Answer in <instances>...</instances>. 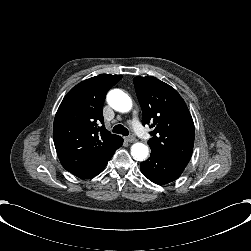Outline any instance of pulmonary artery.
<instances>
[{"label": "pulmonary artery", "mask_w": 251, "mask_h": 251, "mask_svg": "<svg viewBox=\"0 0 251 251\" xmlns=\"http://www.w3.org/2000/svg\"><path fill=\"white\" fill-rule=\"evenodd\" d=\"M132 124L134 126L133 130L135 133L139 134V136L145 140L149 138V136H150L149 133L146 132L145 130H143L142 127L140 126V122L138 120L136 112L133 113Z\"/></svg>", "instance_id": "e3ab8cb5"}]
</instances>
